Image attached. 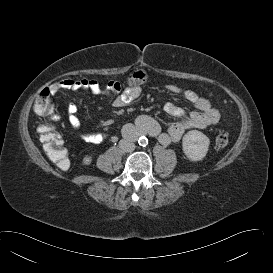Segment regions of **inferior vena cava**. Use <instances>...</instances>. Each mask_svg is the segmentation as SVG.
<instances>
[{"label": "inferior vena cava", "instance_id": "1", "mask_svg": "<svg viewBox=\"0 0 273 273\" xmlns=\"http://www.w3.org/2000/svg\"><path fill=\"white\" fill-rule=\"evenodd\" d=\"M119 147H120L123 151H125V152H131V151L134 150L135 145H134V143L129 142V141L123 139V140H121V141L119 142Z\"/></svg>", "mask_w": 273, "mask_h": 273}]
</instances>
